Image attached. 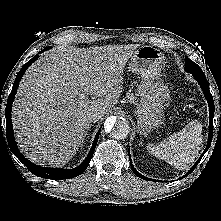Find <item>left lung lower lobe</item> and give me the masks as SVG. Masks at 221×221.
<instances>
[{
  "label": "left lung lower lobe",
  "mask_w": 221,
  "mask_h": 221,
  "mask_svg": "<svg viewBox=\"0 0 221 221\" xmlns=\"http://www.w3.org/2000/svg\"><path fill=\"white\" fill-rule=\"evenodd\" d=\"M191 74L194 76V78L198 81L199 85L201 86L202 91H203V93H204V95H205V98L207 99L208 104H209V107H210L209 138H208L207 147H206L205 151L203 152V154L201 155V157L199 158V160L195 163V165L193 166V168L190 169L189 172L186 173V174H185L183 177H181L180 179L186 177L187 175H189V174L194 170V168H195V167L197 166V164L200 162V160H201V158L203 157V155H204V154L206 153V151L209 149L210 144H211V141H212V137H213L214 101H213L212 94L210 93V90H209V85H208L207 79H206L205 74H204L203 72H201V73L193 72V73H191ZM129 158H130V165H131L132 171H133L138 177H140V178H142V179H145V180L151 181L152 179L147 178V177L141 175V174L133 167L130 154H129ZM152 181H155V180H152Z\"/></svg>",
  "instance_id": "left-lung-lower-lobe-1"
}]
</instances>
